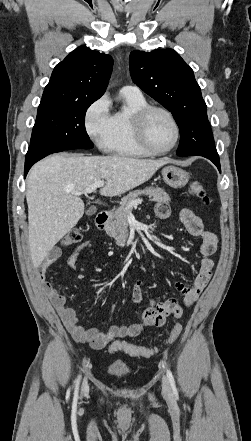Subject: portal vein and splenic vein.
Instances as JSON below:
<instances>
[{"label": "portal vein and splenic vein", "instance_id": "portal-vein-and-splenic-vein-1", "mask_svg": "<svg viewBox=\"0 0 251 441\" xmlns=\"http://www.w3.org/2000/svg\"><path fill=\"white\" fill-rule=\"evenodd\" d=\"M103 186H104V182L103 181H97L94 184L88 186L84 191H82V192H74L73 194L76 195V196H81L83 194L86 195V194L94 192L97 188H100V187H103ZM141 203H142V199H137L135 201L130 202L127 205L126 208L130 209V208H133V207H137Z\"/></svg>", "mask_w": 251, "mask_h": 441}]
</instances>
